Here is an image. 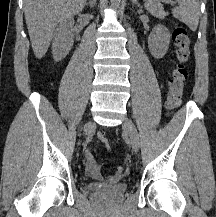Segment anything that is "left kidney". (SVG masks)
Instances as JSON below:
<instances>
[{
  "mask_svg": "<svg viewBox=\"0 0 216 217\" xmlns=\"http://www.w3.org/2000/svg\"><path fill=\"white\" fill-rule=\"evenodd\" d=\"M170 44V32L163 25L153 28L148 37V48L156 59L163 58Z\"/></svg>",
  "mask_w": 216,
  "mask_h": 217,
  "instance_id": "1",
  "label": "left kidney"
}]
</instances>
